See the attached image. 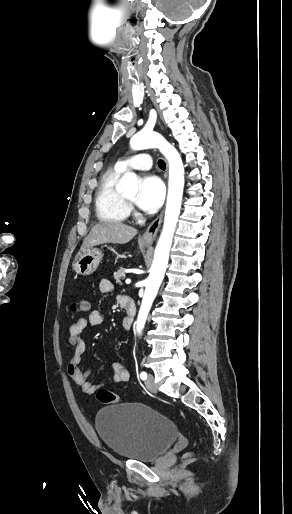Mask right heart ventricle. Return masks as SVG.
<instances>
[{"instance_id": "right-heart-ventricle-1", "label": "right heart ventricle", "mask_w": 292, "mask_h": 514, "mask_svg": "<svg viewBox=\"0 0 292 514\" xmlns=\"http://www.w3.org/2000/svg\"><path fill=\"white\" fill-rule=\"evenodd\" d=\"M121 175L118 169H109L100 178L94 200L95 213L99 221L122 222L128 216V210L121 202L120 192L116 188Z\"/></svg>"}]
</instances>
